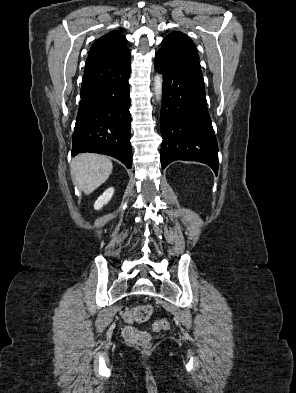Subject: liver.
Returning <instances> with one entry per match:
<instances>
[{"mask_svg": "<svg viewBox=\"0 0 296 393\" xmlns=\"http://www.w3.org/2000/svg\"><path fill=\"white\" fill-rule=\"evenodd\" d=\"M112 162L103 155L83 153L71 162V177L74 185L86 195L92 193L110 176Z\"/></svg>", "mask_w": 296, "mask_h": 393, "instance_id": "liver-1", "label": "liver"}]
</instances>
